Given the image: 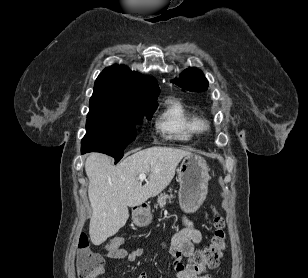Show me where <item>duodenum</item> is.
Here are the masks:
<instances>
[{
  "label": "duodenum",
  "mask_w": 308,
  "mask_h": 278,
  "mask_svg": "<svg viewBox=\"0 0 308 278\" xmlns=\"http://www.w3.org/2000/svg\"><path fill=\"white\" fill-rule=\"evenodd\" d=\"M147 209L148 207L146 204H141L140 206H138L136 211V219L140 220L146 213Z\"/></svg>",
  "instance_id": "1"
}]
</instances>
